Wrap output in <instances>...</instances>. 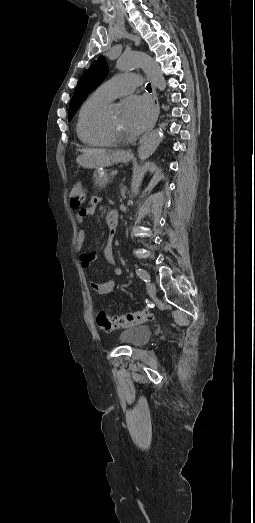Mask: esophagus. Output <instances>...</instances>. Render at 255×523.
<instances>
[{"instance_id": "esophagus-1", "label": "esophagus", "mask_w": 255, "mask_h": 523, "mask_svg": "<svg viewBox=\"0 0 255 523\" xmlns=\"http://www.w3.org/2000/svg\"><path fill=\"white\" fill-rule=\"evenodd\" d=\"M152 86V95H153V103H154V107H155V113H154V116H153V120H152V123L150 124V126L148 127L147 131L145 132V134L141 137V139L139 140V143H141L145 137L148 135V133L151 132V130L155 127V124L159 118V113H160V107H159V101H158V98H157V93H156V88L155 86L153 85V83L151 84ZM127 155H132L133 154V151L131 148H128L125 152Z\"/></svg>"}]
</instances>
